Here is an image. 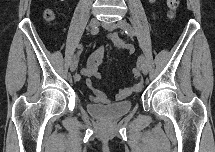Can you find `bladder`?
Listing matches in <instances>:
<instances>
[{
	"label": "bladder",
	"instance_id": "31cf9c89",
	"mask_svg": "<svg viewBox=\"0 0 215 152\" xmlns=\"http://www.w3.org/2000/svg\"><path fill=\"white\" fill-rule=\"evenodd\" d=\"M133 102H117L107 105H88V111L95 117L102 120H109L126 115L132 110Z\"/></svg>",
	"mask_w": 215,
	"mask_h": 152
}]
</instances>
